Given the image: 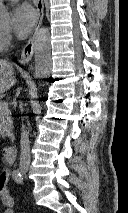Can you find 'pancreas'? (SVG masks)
<instances>
[{
  "label": "pancreas",
  "instance_id": "cf45deb5",
  "mask_svg": "<svg viewBox=\"0 0 128 213\" xmlns=\"http://www.w3.org/2000/svg\"><path fill=\"white\" fill-rule=\"evenodd\" d=\"M13 121L11 117V111L7 108L0 110V136L12 137L13 136Z\"/></svg>",
  "mask_w": 128,
  "mask_h": 213
}]
</instances>
